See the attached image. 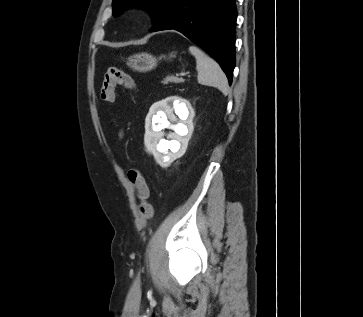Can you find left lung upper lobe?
I'll return each mask as SVG.
<instances>
[{
    "mask_svg": "<svg viewBox=\"0 0 363 317\" xmlns=\"http://www.w3.org/2000/svg\"><path fill=\"white\" fill-rule=\"evenodd\" d=\"M167 0H113V15H118L128 6H139L151 12L153 21L156 20Z\"/></svg>",
    "mask_w": 363,
    "mask_h": 317,
    "instance_id": "obj_1",
    "label": "left lung upper lobe"
}]
</instances>
